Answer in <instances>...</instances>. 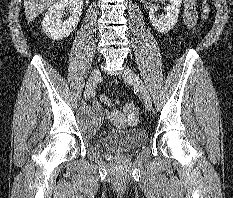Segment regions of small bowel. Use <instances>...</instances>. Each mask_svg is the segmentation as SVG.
<instances>
[{"label": "small bowel", "mask_w": 233, "mask_h": 198, "mask_svg": "<svg viewBox=\"0 0 233 198\" xmlns=\"http://www.w3.org/2000/svg\"><path fill=\"white\" fill-rule=\"evenodd\" d=\"M184 24L187 28H191L195 25L197 20L195 1L184 0V12H183Z\"/></svg>", "instance_id": "c3829d8e"}]
</instances>
